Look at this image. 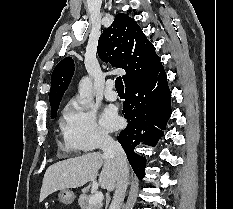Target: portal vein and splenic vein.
I'll list each match as a JSON object with an SVG mask.
<instances>
[{
  "instance_id": "1",
  "label": "portal vein and splenic vein",
  "mask_w": 233,
  "mask_h": 209,
  "mask_svg": "<svg viewBox=\"0 0 233 209\" xmlns=\"http://www.w3.org/2000/svg\"><path fill=\"white\" fill-rule=\"evenodd\" d=\"M103 193L101 191L95 192L89 199V204H99L103 201Z\"/></svg>"
}]
</instances>
